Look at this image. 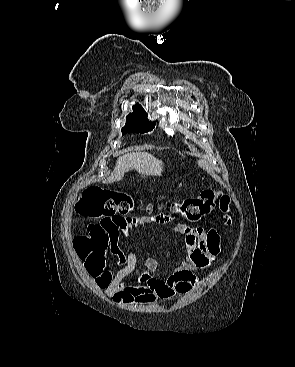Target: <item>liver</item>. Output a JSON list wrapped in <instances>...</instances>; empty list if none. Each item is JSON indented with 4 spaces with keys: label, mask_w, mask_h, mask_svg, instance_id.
<instances>
[{
    "label": "liver",
    "mask_w": 295,
    "mask_h": 367,
    "mask_svg": "<svg viewBox=\"0 0 295 367\" xmlns=\"http://www.w3.org/2000/svg\"><path fill=\"white\" fill-rule=\"evenodd\" d=\"M163 163L147 152L127 153L119 157L111 175L105 183L120 181L124 173L135 169L139 174L146 176H158L163 172Z\"/></svg>",
    "instance_id": "6515ba94"
}]
</instances>
